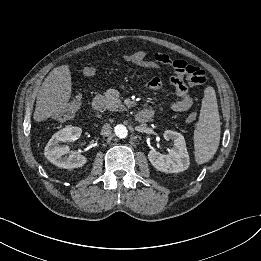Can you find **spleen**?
Wrapping results in <instances>:
<instances>
[{
    "mask_svg": "<svg viewBox=\"0 0 261 261\" xmlns=\"http://www.w3.org/2000/svg\"><path fill=\"white\" fill-rule=\"evenodd\" d=\"M220 129L216 94L212 87H207L194 131L195 160L198 164L208 162L216 153L220 142Z\"/></svg>",
    "mask_w": 261,
    "mask_h": 261,
    "instance_id": "obj_1",
    "label": "spleen"
}]
</instances>
